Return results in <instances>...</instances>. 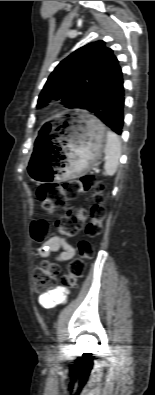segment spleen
Returning a JSON list of instances; mask_svg holds the SVG:
<instances>
[{
    "label": "spleen",
    "mask_w": 155,
    "mask_h": 395,
    "mask_svg": "<svg viewBox=\"0 0 155 395\" xmlns=\"http://www.w3.org/2000/svg\"><path fill=\"white\" fill-rule=\"evenodd\" d=\"M106 137L107 140L104 148L106 162L104 169L107 175L112 176L115 174L119 164L121 143L118 136L110 130L106 132Z\"/></svg>",
    "instance_id": "obj_1"
}]
</instances>
